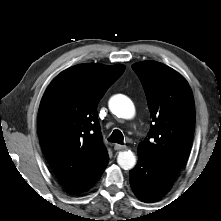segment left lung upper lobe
<instances>
[{"instance_id":"left-lung-upper-lobe-1","label":"left lung upper lobe","mask_w":221,"mask_h":221,"mask_svg":"<svg viewBox=\"0 0 221 221\" xmlns=\"http://www.w3.org/2000/svg\"><path fill=\"white\" fill-rule=\"evenodd\" d=\"M133 70L143 85L153 123L138 154L179 172L191 147L195 104L183 76L156 61L138 62Z\"/></svg>"}]
</instances>
